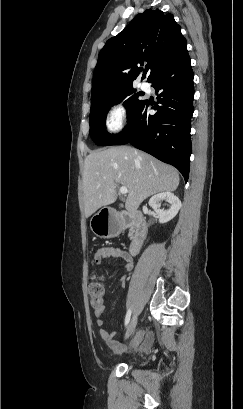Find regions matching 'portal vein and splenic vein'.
Here are the masks:
<instances>
[{"label": "portal vein and splenic vein", "mask_w": 243, "mask_h": 409, "mask_svg": "<svg viewBox=\"0 0 243 409\" xmlns=\"http://www.w3.org/2000/svg\"><path fill=\"white\" fill-rule=\"evenodd\" d=\"M119 192L122 195H126L127 193H129L128 189L126 187H124V186L119 187Z\"/></svg>", "instance_id": "1"}]
</instances>
